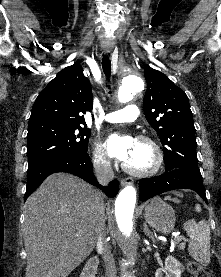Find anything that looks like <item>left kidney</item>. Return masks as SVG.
Instances as JSON below:
<instances>
[{"label": "left kidney", "mask_w": 221, "mask_h": 277, "mask_svg": "<svg viewBox=\"0 0 221 277\" xmlns=\"http://www.w3.org/2000/svg\"><path fill=\"white\" fill-rule=\"evenodd\" d=\"M182 265L173 256L165 259L164 268L157 269L155 277H181Z\"/></svg>", "instance_id": "obj_1"}]
</instances>
